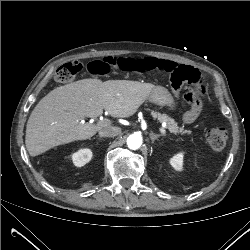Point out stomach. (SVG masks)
<instances>
[{"label": "stomach", "mask_w": 250, "mask_h": 250, "mask_svg": "<svg viewBox=\"0 0 250 250\" xmlns=\"http://www.w3.org/2000/svg\"><path fill=\"white\" fill-rule=\"evenodd\" d=\"M149 102L160 106H168L170 109H176V102L171 93L164 87H155L147 98Z\"/></svg>", "instance_id": "stomach-1"}]
</instances>
